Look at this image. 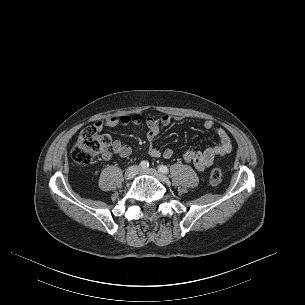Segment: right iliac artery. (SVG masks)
I'll return each mask as SVG.
<instances>
[{
    "label": "right iliac artery",
    "mask_w": 305,
    "mask_h": 305,
    "mask_svg": "<svg viewBox=\"0 0 305 305\" xmlns=\"http://www.w3.org/2000/svg\"><path fill=\"white\" fill-rule=\"evenodd\" d=\"M140 166H141V168L146 169L149 167V163H148V161L144 160L140 163Z\"/></svg>",
    "instance_id": "82829eb1"
}]
</instances>
